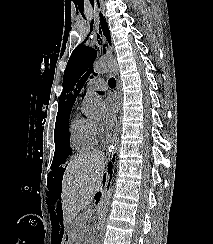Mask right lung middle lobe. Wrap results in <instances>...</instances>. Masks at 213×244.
Instances as JSON below:
<instances>
[{"instance_id":"1","label":"right lung middle lobe","mask_w":213,"mask_h":244,"mask_svg":"<svg viewBox=\"0 0 213 244\" xmlns=\"http://www.w3.org/2000/svg\"><path fill=\"white\" fill-rule=\"evenodd\" d=\"M71 112V111H70ZM70 112L66 113L63 118H61L58 127L55 131V154L54 160L51 165V171L49 172V179L57 176V173L60 170H63V164L66 162V159L71 155V148L69 142V116Z\"/></svg>"}]
</instances>
